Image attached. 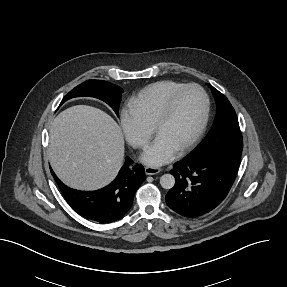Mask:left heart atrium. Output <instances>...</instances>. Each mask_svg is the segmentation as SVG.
I'll use <instances>...</instances> for the list:
<instances>
[{
  "instance_id": "1",
  "label": "left heart atrium",
  "mask_w": 287,
  "mask_h": 287,
  "mask_svg": "<svg viewBox=\"0 0 287 287\" xmlns=\"http://www.w3.org/2000/svg\"><path fill=\"white\" fill-rule=\"evenodd\" d=\"M176 153L177 149L170 145L165 139L156 137L145 149L142 154V160L149 165H162L172 160Z\"/></svg>"
}]
</instances>
